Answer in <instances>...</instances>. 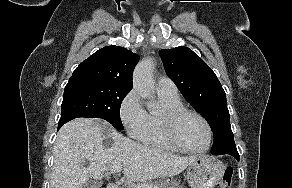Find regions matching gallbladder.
Returning a JSON list of instances; mask_svg holds the SVG:
<instances>
[{"instance_id":"1","label":"gallbladder","mask_w":292,"mask_h":188,"mask_svg":"<svg viewBox=\"0 0 292 188\" xmlns=\"http://www.w3.org/2000/svg\"><path fill=\"white\" fill-rule=\"evenodd\" d=\"M102 184V182L88 181L86 182V186L84 188H101Z\"/></svg>"}]
</instances>
